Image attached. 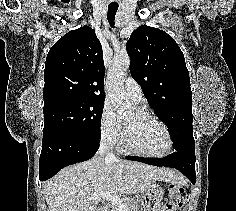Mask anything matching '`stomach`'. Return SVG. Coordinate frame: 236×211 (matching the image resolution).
I'll return each instance as SVG.
<instances>
[{
	"label": "stomach",
	"mask_w": 236,
	"mask_h": 211,
	"mask_svg": "<svg viewBox=\"0 0 236 211\" xmlns=\"http://www.w3.org/2000/svg\"><path fill=\"white\" fill-rule=\"evenodd\" d=\"M163 189L156 183H152L139 195L140 211H161Z\"/></svg>",
	"instance_id": "obj_1"
}]
</instances>
